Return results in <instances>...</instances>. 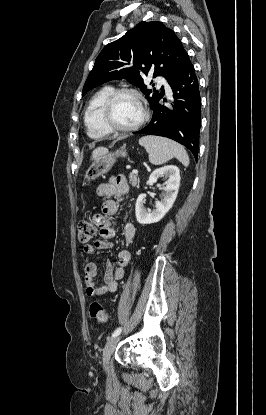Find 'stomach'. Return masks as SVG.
Masks as SVG:
<instances>
[{
	"mask_svg": "<svg viewBox=\"0 0 266 415\" xmlns=\"http://www.w3.org/2000/svg\"><path fill=\"white\" fill-rule=\"evenodd\" d=\"M127 153L124 148L115 152L106 150L103 154L94 158L92 165L85 171L83 181L85 184L95 180L100 175L107 173L118 157H126Z\"/></svg>",
	"mask_w": 266,
	"mask_h": 415,
	"instance_id": "0dacf381",
	"label": "stomach"
}]
</instances>
